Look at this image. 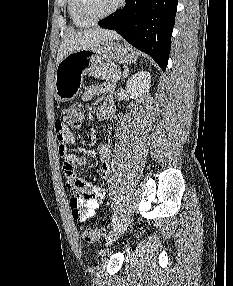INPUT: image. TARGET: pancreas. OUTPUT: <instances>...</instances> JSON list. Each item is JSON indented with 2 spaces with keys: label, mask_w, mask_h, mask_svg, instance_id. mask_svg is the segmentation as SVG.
I'll return each mask as SVG.
<instances>
[{
  "label": "pancreas",
  "mask_w": 233,
  "mask_h": 286,
  "mask_svg": "<svg viewBox=\"0 0 233 286\" xmlns=\"http://www.w3.org/2000/svg\"><path fill=\"white\" fill-rule=\"evenodd\" d=\"M115 73H119V68L117 66H112L110 63H104L91 70L89 75L98 79L117 82L118 77L114 75Z\"/></svg>",
  "instance_id": "pancreas-1"
}]
</instances>
